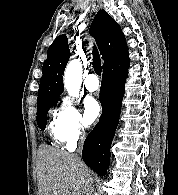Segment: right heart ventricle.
I'll use <instances>...</instances> for the list:
<instances>
[{"mask_svg":"<svg viewBox=\"0 0 178 195\" xmlns=\"http://www.w3.org/2000/svg\"><path fill=\"white\" fill-rule=\"evenodd\" d=\"M48 128H49V133H50V135L55 143L62 144L63 142H65V140L61 134L58 117L53 118L51 120Z\"/></svg>","mask_w":178,"mask_h":195,"instance_id":"1","label":"right heart ventricle"}]
</instances>
